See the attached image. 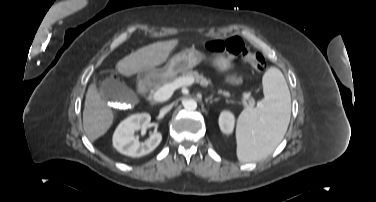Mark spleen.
Returning a JSON list of instances; mask_svg holds the SVG:
<instances>
[{"instance_id": "obj_1", "label": "spleen", "mask_w": 376, "mask_h": 202, "mask_svg": "<svg viewBox=\"0 0 376 202\" xmlns=\"http://www.w3.org/2000/svg\"><path fill=\"white\" fill-rule=\"evenodd\" d=\"M264 99L253 110H244L236 128L237 157L241 162L260 160L282 141L291 116V97L282 72L270 67L262 78Z\"/></svg>"}]
</instances>
